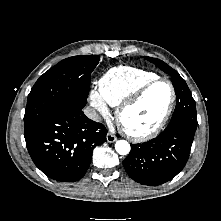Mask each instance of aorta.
Instances as JSON below:
<instances>
[{
    "label": "aorta",
    "instance_id": "762f6f07",
    "mask_svg": "<svg viewBox=\"0 0 221 221\" xmlns=\"http://www.w3.org/2000/svg\"><path fill=\"white\" fill-rule=\"evenodd\" d=\"M115 150L120 155H126L130 152V144L125 140H119L115 144Z\"/></svg>",
    "mask_w": 221,
    "mask_h": 221
}]
</instances>
